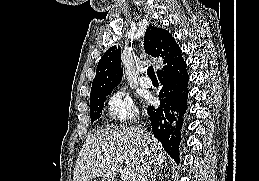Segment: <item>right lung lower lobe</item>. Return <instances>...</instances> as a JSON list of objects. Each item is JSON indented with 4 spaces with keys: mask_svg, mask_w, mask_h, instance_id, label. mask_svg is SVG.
<instances>
[{
    "mask_svg": "<svg viewBox=\"0 0 259 181\" xmlns=\"http://www.w3.org/2000/svg\"><path fill=\"white\" fill-rule=\"evenodd\" d=\"M161 83L160 107L148 106L152 132L161 142L165 151L179 161V140L182 116L186 112L189 76L181 52L172 57L161 70L157 71ZM176 118L178 120L176 121ZM176 121V126L171 123Z\"/></svg>",
    "mask_w": 259,
    "mask_h": 181,
    "instance_id": "1",
    "label": "right lung lower lobe"
}]
</instances>
